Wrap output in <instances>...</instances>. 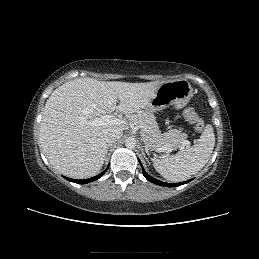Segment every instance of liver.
Segmentation results:
<instances>
[{
  "mask_svg": "<svg viewBox=\"0 0 259 259\" xmlns=\"http://www.w3.org/2000/svg\"><path fill=\"white\" fill-rule=\"evenodd\" d=\"M162 83L79 78L55 89L45 104L39 129L40 143L49 162L72 178L96 175L107 153L105 134L115 129L123 132L124 126L93 127L88 122L114 110L133 115L149 104Z\"/></svg>",
  "mask_w": 259,
  "mask_h": 259,
  "instance_id": "1",
  "label": "liver"
}]
</instances>
